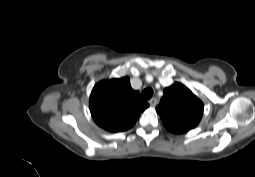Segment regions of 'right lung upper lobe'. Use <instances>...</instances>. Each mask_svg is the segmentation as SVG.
<instances>
[{"label": "right lung upper lobe", "instance_id": "cb5924a9", "mask_svg": "<svg viewBox=\"0 0 255 177\" xmlns=\"http://www.w3.org/2000/svg\"><path fill=\"white\" fill-rule=\"evenodd\" d=\"M95 123L110 132L130 129L149 104L139 99L129 78L103 80L97 83L89 100Z\"/></svg>", "mask_w": 255, "mask_h": 177}]
</instances>
